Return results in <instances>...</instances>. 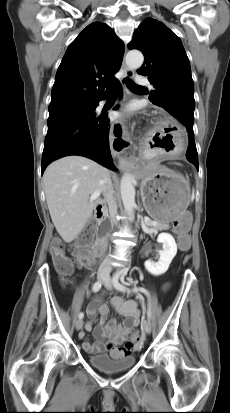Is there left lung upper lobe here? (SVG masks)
<instances>
[{
	"label": "left lung upper lobe",
	"mask_w": 230,
	"mask_h": 413,
	"mask_svg": "<svg viewBox=\"0 0 230 413\" xmlns=\"http://www.w3.org/2000/svg\"><path fill=\"white\" fill-rule=\"evenodd\" d=\"M128 48L144 54V63L137 72L147 75L154 87L149 100L173 115L186 130L193 128L194 83L180 38L162 22L147 18L134 32Z\"/></svg>",
	"instance_id": "1"
}]
</instances>
